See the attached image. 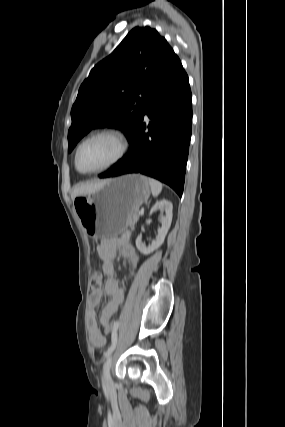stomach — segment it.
<instances>
[{"mask_svg":"<svg viewBox=\"0 0 285 427\" xmlns=\"http://www.w3.org/2000/svg\"><path fill=\"white\" fill-rule=\"evenodd\" d=\"M151 186L140 174L110 179L92 194L77 196L73 207L85 231L95 238H110L123 232L140 206L148 200Z\"/></svg>","mask_w":285,"mask_h":427,"instance_id":"obj_1","label":"stomach"}]
</instances>
